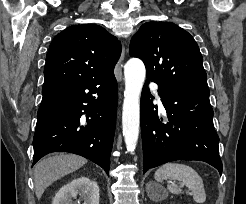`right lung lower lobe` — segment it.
I'll return each instance as SVG.
<instances>
[{
  "instance_id": "right-lung-lower-lobe-1",
  "label": "right lung lower lobe",
  "mask_w": 246,
  "mask_h": 204,
  "mask_svg": "<svg viewBox=\"0 0 246 204\" xmlns=\"http://www.w3.org/2000/svg\"><path fill=\"white\" fill-rule=\"evenodd\" d=\"M42 93L32 165L64 151L90 159L108 174L117 114L114 74L46 86Z\"/></svg>"
}]
</instances>
